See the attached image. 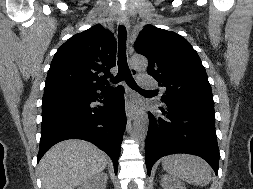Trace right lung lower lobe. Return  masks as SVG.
I'll list each match as a JSON object with an SVG mask.
<instances>
[{
    "label": "right lung lower lobe",
    "instance_id": "right-lung-lower-lobe-1",
    "mask_svg": "<svg viewBox=\"0 0 253 189\" xmlns=\"http://www.w3.org/2000/svg\"><path fill=\"white\" fill-rule=\"evenodd\" d=\"M103 106L94 107L93 101L101 99ZM122 86L110 90L108 86L54 92L43 95L42 129L39 161L54 144L66 139H83L97 145L113 161L115 173L123 133L126 125L125 102Z\"/></svg>",
    "mask_w": 253,
    "mask_h": 189
}]
</instances>
